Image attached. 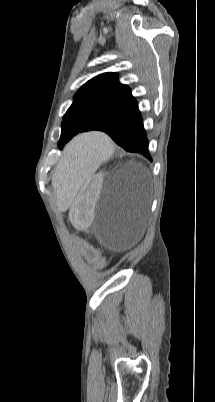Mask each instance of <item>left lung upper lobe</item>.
<instances>
[{"label": "left lung upper lobe", "mask_w": 215, "mask_h": 402, "mask_svg": "<svg viewBox=\"0 0 215 402\" xmlns=\"http://www.w3.org/2000/svg\"><path fill=\"white\" fill-rule=\"evenodd\" d=\"M134 101L130 89L118 81L116 73L92 78L76 93L63 117L59 148L79 132L95 130Z\"/></svg>", "instance_id": "left-lung-upper-lobe-1"}]
</instances>
